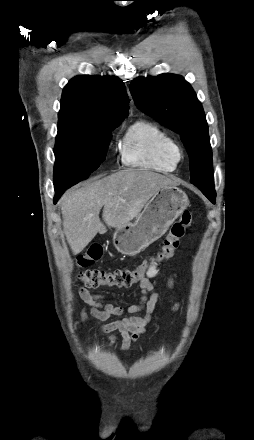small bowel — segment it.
<instances>
[{
    "instance_id": "small-bowel-1",
    "label": "small bowel",
    "mask_w": 254,
    "mask_h": 440,
    "mask_svg": "<svg viewBox=\"0 0 254 440\" xmlns=\"http://www.w3.org/2000/svg\"><path fill=\"white\" fill-rule=\"evenodd\" d=\"M157 265L158 261L153 262L149 266L146 276L140 280V299L138 303L129 305L126 308L130 316L103 324L100 327V331L103 333L119 332L122 338L121 348L123 350L129 349L137 341L151 321L159 297L155 290L154 281L158 272ZM169 284H172V280L169 281ZM78 294L80 299L87 305L81 312L83 320H86L88 315H91L98 321L104 322L111 316H120L124 313V309L121 306L105 303L103 301L104 296L101 294H94L86 288H80ZM178 307L179 305L175 304L173 310H177ZM143 310L145 311L144 315H137ZM109 341L114 342L115 337L109 336Z\"/></svg>"
}]
</instances>
